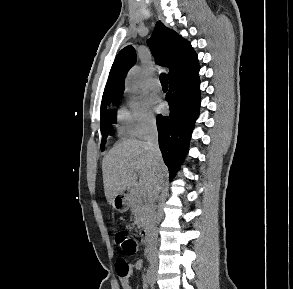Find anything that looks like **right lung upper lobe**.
<instances>
[{
	"label": "right lung upper lobe",
	"instance_id": "cb5924a9",
	"mask_svg": "<svg viewBox=\"0 0 293 289\" xmlns=\"http://www.w3.org/2000/svg\"><path fill=\"white\" fill-rule=\"evenodd\" d=\"M147 43L156 61L169 68L170 83L188 80L198 74L197 54L190 42L167 28L161 21L156 23ZM135 63L136 52L133 46L128 45L118 53L109 74L102 103L123 94L125 75Z\"/></svg>",
	"mask_w": 293,
	"mask_h": 289
}]
</instances>
